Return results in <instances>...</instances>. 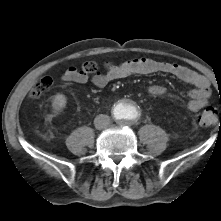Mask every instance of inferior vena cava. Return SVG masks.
I'll use <instances>...</instances> for the list:
<instances>
[{"label":"inferior vena cava","instance_id":"1","mask_svg":"<svg viewBox=\"0 0 221 221\" xmlns=\"http://www.w3.org/2000/svg\"><path fill=\"white\" fill-rule=\"evenodd\" d=\"M110 124V118L108 115L100 114L94 119L95 128L98 130L105 129Z\"/></svg>","mask_w":221,"mask_h":221}]
</instances>
